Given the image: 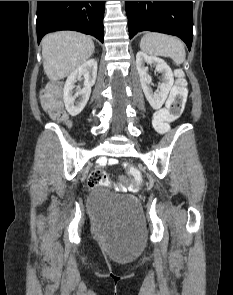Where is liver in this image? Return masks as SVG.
<instances>
[{"label": "liver", "instance_id": "liver-1", "mask_svg": "<svg viewBox=\"0 0 233 295\" xmlns=\"http://www.w3.org/2000/svg\"><path fill=\"white\" fill-rule=\"evenodd\" d=\"M44 72L50 81L65 78L94 53L91 37L72 31L47 34L42 39Z\"/></svg>", "mask_w": 233, "mask_h": 295}]
</instances>
